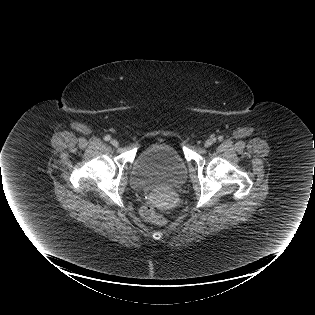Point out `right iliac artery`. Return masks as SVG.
Listing matches in <instances>:
<instances>
[{
	"instance_id": "82829eb1",
	"label": "right iliac artery",
	"mask_w": 315,
	"mask_h": 315,
	"mask_svg": "<svg viewBox=\"0 0 315 315\" xmlns=\"http://www.w3.org/2000/svg\"><path fill=\"white\" fill-rule=\"evenodd\" d=\"M111 139V137L109 136V135H106L105 137H104V140L105 141H109Z\"/></svg>"
}]
</instances>
